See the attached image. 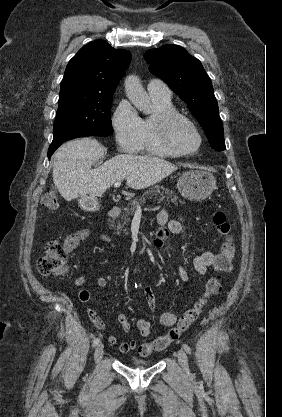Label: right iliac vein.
<instances>
[{
    "label": "right iliac vein",
    "mask_w": 282,
    "mask_h": 417,
    "mask_svg": "<svg viewBox=\"0 0 282 417\" xmlns=\"http://www.w3.org/2000/svg\"><path fill=\"white\" fill-rule=\"evenodd\" d=\"M103 354H104L103 346L102 345H98L96 347V349H95V352H94V359H95V361L96 362H99L101 360Z\"/></svg>",
    "instance_id": "1"
}]
</instances>
